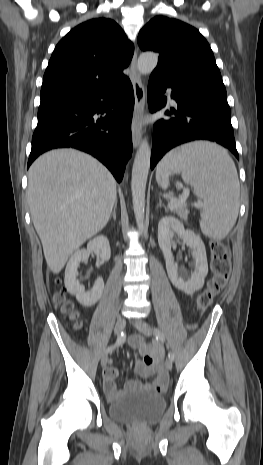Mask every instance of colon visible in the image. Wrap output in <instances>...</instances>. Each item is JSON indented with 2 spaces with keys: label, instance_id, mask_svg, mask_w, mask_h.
Wrapping results in <instances>:
<instances>
[{
  "label": "colon",
  "instance_id": "5ec220e1",
  "mask_svg": "<svg viewBox=\"0 0 263 465\" xmlns=\"http://www.w3.org/2000/svg\"><path fill=\"white\" fill-rule=\"evenodd\" d=\"M210 253L212 277L206 288L197 297L196 310L198 313H203L212 305L215 297L226 286L231 271V261L225 244L220 241H212ZM54 299L63 313L76 320L77 315L73 310V305L65 299L62 292H56ZM75 327H80L78 322L75 323Z\"/></svg>",
  "mask_w": 263,
  "mask_h": 465
}]
</instances>
